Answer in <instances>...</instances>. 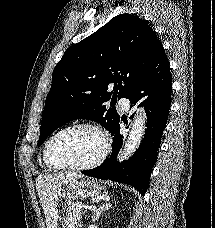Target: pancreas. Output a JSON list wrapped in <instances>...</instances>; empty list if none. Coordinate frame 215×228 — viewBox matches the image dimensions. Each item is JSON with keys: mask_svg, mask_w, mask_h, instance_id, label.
Masks as SVG:
<instances>
[{"mask_svg": "<svg viewBox=\"0 0 215 228\" xmlns=\"http://www.w3.org/2000/svg\"><path fill=\"white\" fill-rule=\"evenodd\" d=\"M82 218L81 212L79 210H75L73 204L69 206L66 210L65 216V228H81L79 224V220Z\"/></svg>", "mask_w": 215, "mask_h": 228, "instance_id": "1", "label": "pancreas"}]
</instances>
